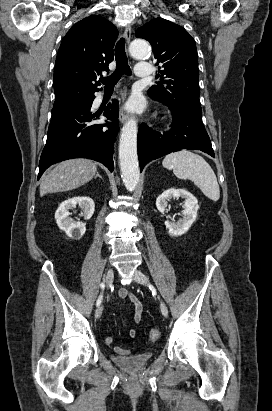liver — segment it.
I'll use <instances>...</instances> for the list:
<instances>
[{
  "label": "liver",
  "mask_w": 272,
  "mask_h": 411,
  "mask_svg": "<svg viewBox=\"0 0 272 411\" xmlns=\"http://www.w3.org/2000/svg\"><path fill=\"white\" fill-rule=\"evenodd\" d=\"M97 171L88 159H71L57 164L40 183V196L76 189L89 182Z\"/></svg>",
  "instance_id": "obj_1"
}]
</instances>
